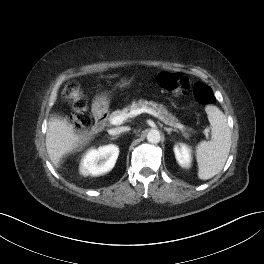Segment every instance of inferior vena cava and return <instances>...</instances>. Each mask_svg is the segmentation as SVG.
Wrapping results in <instances>:
<instances>
[{
    "label": "inferior vena cava",
    "mask_w": 264,
    "mask_h": 264,
    "mask_svg": "<svg viewBox=\"0 0 264 264\" xmlns=\"http://www.w3.org/2000/svg\"><path fill=\"white\" fill-rule=\"evenodd\" d=\"M129 129L127 128V127H117V128H114V129H110V130H108V133L110 134V135H113V136H115V135H118V134H120V133H122V132H125V131H128Z\"/></svg>",
    "instance_id": "602c4592"
}]
</instances>
